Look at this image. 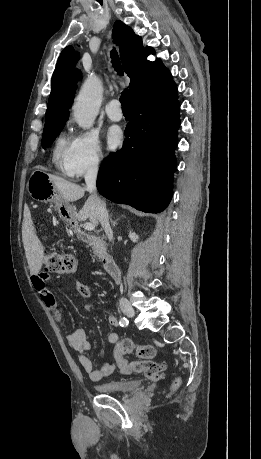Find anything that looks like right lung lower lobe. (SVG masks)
I'll use <instances>...</instances> for the list:
<instances>
[{"label":"right lung lower lobe","mask_w":261,"mask_h":459,"mask_svg":"<svg viewBox=\"0 0 261 459\" xmlns=\"http://www.w3.org/2000/svg\"><path fill=\"white\" fill-rule=\"evenodd\" d=\"M131 110L123 148L102 162L97 188L111 201L159 213L172 198L176 167L180 105L175 83L137 99Z\"/></svg>","instance_id":"98d812e1"}]
</instances>
